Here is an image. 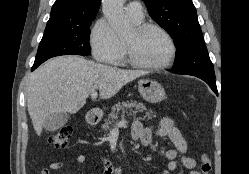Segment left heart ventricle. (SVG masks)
Returning <instances> with one entry per match:
<instances>
[{
    "mask_svg": "<svg viewBox=\"0 0 249 174\" xmlns=\"http://www.w3.org/2000/svg\"><path fill=\"white\" fill-rule=\"evenodd\" d=\"M133 55L140 61L159 64L171 55V46L167 38L156 30H150L138 36L135 29L124 39Z\"/></svg>",
    "mask_w": 249,
    "mask_h": 174,
    "instance_id": "obj_1",
    "label": "left heart ventricle"
}]
</instances>
